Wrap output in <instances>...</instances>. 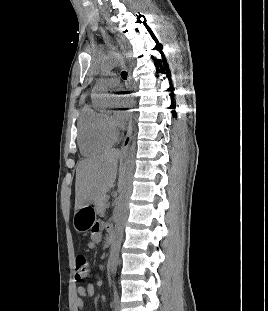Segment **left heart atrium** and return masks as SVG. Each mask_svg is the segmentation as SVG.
<instances>
[{
	"label": "left heart atrium",
	"instance_id": "39dd6f15",
	"mask_svg": "<svg viewBox=\"0 0 268 311\" xmlns=\"http://www.w3.org/2000/svg\"><path fill=\"white\" fill-rule=\"evenodd\" d=\"M115 97H126V95L116 94ZM127 104H129V102H120V103H118V105H127ZM118 116L121 119H125L126 118V115L123 113V111H119L118 112Z\"/></svg>",
	"mask_w": 268,
	"mask_h": 311
}]
</instances>
